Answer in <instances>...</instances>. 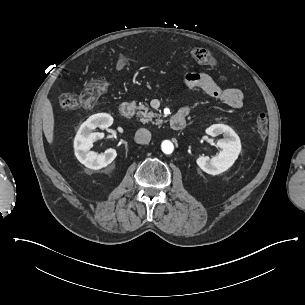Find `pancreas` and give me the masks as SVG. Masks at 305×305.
<instances>
[{"instance_id":"obj_1","label":"pancreas","mask_w":305,"mask_h":305,"mask_svg":"<svg viewBox=\"0 0 305 305\" xmlns=\"http://www.w3.org/2000/svg\"><path fill=\"white\" fill-rule=\"evenodd\" d=\"M137 109H138L137 117L142 123L151 122L152 124H154L152 119L156 117L160 118V114L156 112H149V108L147 107V104L141 103L139 104ZM161 122H162L161 120H158V124Z\"/></svg>"}]
</instances>
